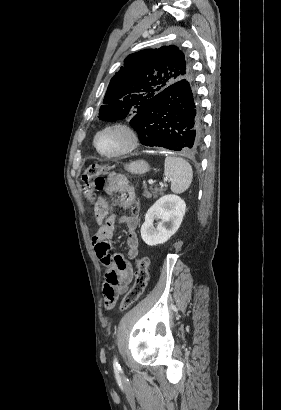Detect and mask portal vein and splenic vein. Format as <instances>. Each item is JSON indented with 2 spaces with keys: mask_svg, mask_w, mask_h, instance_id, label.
<instances>
[{
  "mask_svg": "<svg viewBox=\"0 0 281 410\" xmlns=\"http://www.w3.org/2000/svg\"><path fill=\"white\" fill-rule=\"evenodd\" d=\"M148 183L152 185V184L154 183V181H153L152 179H150V180L148 181Z\"/></svg>",
  "mask_w": 281,
  "mask_h": 410,
  "instance_id": "obj_1",
  "label": "portal vein and splenic vein"
}]
</instances>
